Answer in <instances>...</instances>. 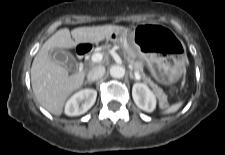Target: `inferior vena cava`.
<instances>
[{
    "label": "inferior vena cava",
    "instance_id": "602c4592",
    "mask_svg": "<svg viewBox=\"0 0 225 155\" xmlns=\"http://www.w3.org/2000/svg\"><path fill=\"white\" fill-rule=\"evenodd\" d=\"M105 74V67L103 65L94 66L92 69L89 70L87 74L88 81H95L100 79Z\"/></svg>",
    "mask_w": 225,
    "mask_h": 155
}]
</instances>
